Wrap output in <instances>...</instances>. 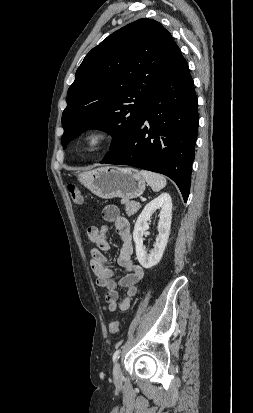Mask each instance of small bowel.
I'll use <instances>...</instances> for the list:
<instances>
[{"label":"small bowel","instance_id":"c3829d8e","mask_svg":"<svg viewBox=\"0 0 253 413\" xmlns=\"http://www.w3.org/2000/svg\"><path fill=\"white\" fill-rule=\"evenodd\" d=\"M103 219L113 223L122 245L117 258L118 264L125 269L126 274L119 280L114 279V269L105 255L110 250L106 237L108 225L101 228L90 226L86 235L88 240L95 244L91 249L90 267L96 276V284L105 289V301L110 312L126 311L137 294V285L144 277L143 268L132 259L133 244L128 220L120 215L115 205H107L102 210ZM118 287L126 289L124 297L119 301Z\"/></svg>","mask_w":253,"mask_h":413}]
</instances>
